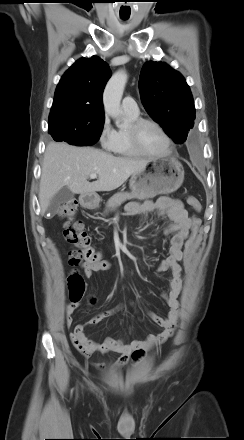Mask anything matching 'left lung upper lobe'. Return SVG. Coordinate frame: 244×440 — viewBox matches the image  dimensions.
<instances>
[{
    "mask_svg": "<svg viewBox=\"0 0 244 440\" xmlns=\"http://www.w3.org/2000/svg\"><path fill=\"white\" fill-rule=\"evenodd\" d=\"M139 90L149 115L175 143H183L195 119L193 97L184 77L166 63L147 62L141 70Z\"/></svg>",
    "mask_w": 244,
    "mask_h": 440,
    "instance_id": "left-lung-upper-lobe-1",
    "label": "left lung upper lobe"
}]
</instances>
